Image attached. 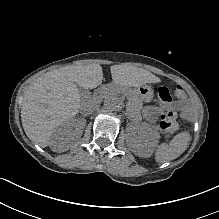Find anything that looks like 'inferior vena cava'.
I'll use <instances>...</instances> for the list:
<instances>
[{"instance_id": "1", "label": "inferior vena cava", "mask_w": 219, "mask_h": 219, "mask_svg": "<svg viewBox=\"0 0 219 219\" xmlns=\"http://www.w3.org/2000/svg\"><path fill=\"white\" fill-rule=\"evenodd\" d=\"M81 112L84 114V115H92L94 112H95V105L92 103V102H84L82 105H81Z\"/></svg>"}]
</instances>
